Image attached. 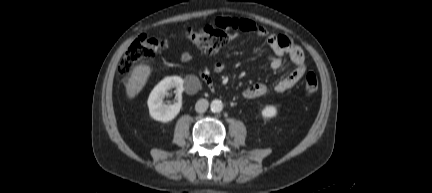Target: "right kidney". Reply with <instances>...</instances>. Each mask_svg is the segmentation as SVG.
Returning a JSON list of instances; mask_svg holds the SVG:
<instances>
[{"label":"right kidney","mask_w":432,"mask_h":193,"mask_svg":"<svg viewBox=\"0 0 432 193\" xmlns=\"http://www.w3.org/2000/svg\"><path fill=\"white\" fill-rule=\"evenodd\" d=\"M183 84L184 81L181 77L170 76L164 78L154 87L147 102L149 113L154 120L167 123L179 114L182 107L181 93L184 90ZM173 87H176L179 101L172 105H166L163 103V99L167 90Z\"/></svg>","instance_id":"right-kidney-1"}]
</instances>
